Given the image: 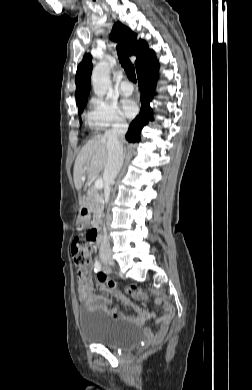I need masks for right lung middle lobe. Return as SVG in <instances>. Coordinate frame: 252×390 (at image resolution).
Returning <instances> with one entry per match:
<instances>
[{"instance_id":"obj_1","label":"right lung middle lobe","mask_w":252,"mask_h":390,"mask_svg":"<svg viewBox=\"0 0 252 390\" xmlns=\"http://www.w3.org/2000/svg\"><path fill=\"white\" fill-rule=\"evenodd\" d=\"M83 108H84V107H82V108H79V114H81V113H82V111H83Z\"/></svg>"}]
</instances>
